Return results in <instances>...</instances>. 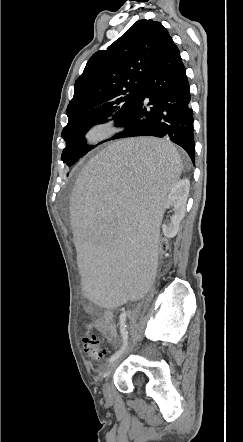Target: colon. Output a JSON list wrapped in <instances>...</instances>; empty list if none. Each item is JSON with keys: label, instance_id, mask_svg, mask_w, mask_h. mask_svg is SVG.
Here are the masks:
<instances>
[{"label": "colon", "instance_id": "obj_1", "mask_svg": "<svg viewBox=\"0 0 243 442\" xmlns=\"http://www.w3.org/2000/svg\"><path fill=\"white\" fill-rule=\"evenodd\" d=\"M168 235L165 232L159 231V251L158 258L163 259L168 251ZM84 351L89 355L92 361L100 363L107 354V349L100 343L98 336L94 333H89L83 338Z\"/></svg>", "mask_w": 243, "mask_h": 442}]
</instances>
